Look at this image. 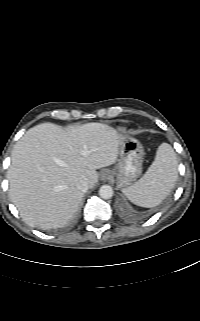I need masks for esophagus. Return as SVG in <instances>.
Masks as SVG:
<instances>
[{"mask_svg":"<svg viewBox=\"0 0 200 321\" xmlns=\"http://www.w3.org/2000/svg\"><path fill=\"white\" fill-rule=\"evenodd\" d=\"M109 177L110 175L108 171L103 172L101 175L102 180H107Z\"/></svg>","mask_w":200,"mask_h":321,"instance_id":"esophagus-1","label":"esophagus"}]
</instances>
